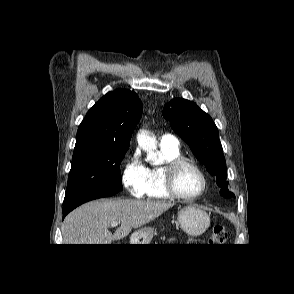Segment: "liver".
<instances>
[{
	"label": "liver",
	"mask_w": 294,
	"mask_h": 294,
	"mask_svg": "<svg viewBox=\"0 0 294 294\" xmlns=\"http://www.w3.org/2000/svg\"><path fill=\"white\" fill-rule=\"evenodd\" d=\"M174 204L144 200H96L88 202L65 218L62 226L64 244H111L159 217ZM118 222L114 234L111 223Z\"/></svg>",
	"instance_id": "1"
}]
</instances>
